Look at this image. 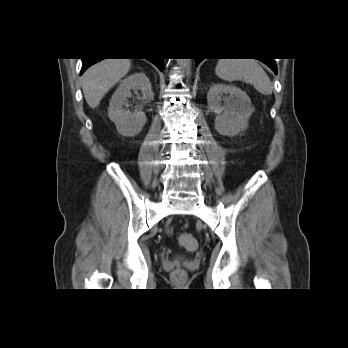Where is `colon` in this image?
I'll use <instances>...</instances> for the list:
<instances>
[{
    "instance_id": "obj_1",
    "label": "colon",
    "mask_w": 348,
    "mask_h": 348,
    "mask_svg": "<svg viewBox=\"0 0 348 348\" xmlns=\"http://www.w3.org/2000/svg\"><path fill=\"white\" fill-rule=\"evenodd\" d=\"M180 244L183 248L188 251H194L197 248L196 239L190 234H183L180 237ZM176 277H180L183 275V271L180 269H176L173 273Z\"/></svg>"
}]
</instances>
